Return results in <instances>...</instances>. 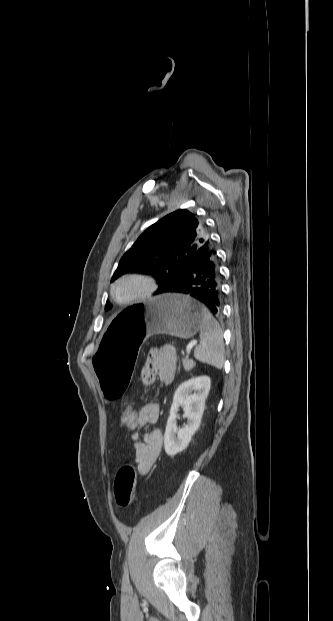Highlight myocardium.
Masks as SVG:
<instances>
[{"label": "myocardium", "instance_id": "1", "mask_svg": "<svg viewBox=\"0 0 333 621\" xmlns=\"http://www.w3.org/2000/svg\"><path fill=\"white\" fill-rule=\"evenodd\" d=\"M128 280L140 282L143 285V289L131 298L120 300L116 296L115 289L120 283ZM156 290L157 283L152 276L142 272H128L122 274L112 282L110 286V295L111 298L119 305H132L151 297Z\"/></svg>", "mask_w": 333, "mask_h": 621}]
</instances>
